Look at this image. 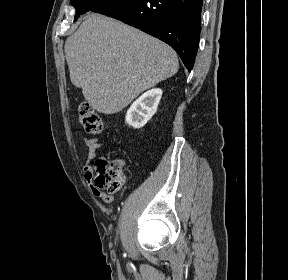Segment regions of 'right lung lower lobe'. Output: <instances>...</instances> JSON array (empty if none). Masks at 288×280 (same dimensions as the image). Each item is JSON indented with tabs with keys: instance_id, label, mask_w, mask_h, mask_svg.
Here are the masks:
<instances>
[{
	"instance_id": "right-lung-lower-lobe-1",
	"label": "right lung lower lobe",
	"mask_w": 288,
	"mask_h": 280,
	"mask_svg": "<svg viewBox=\"0 0 288 280\" xmlns=\"http://www.w3.org/2000/svg\"><path fill=\"white\" fill-rule=\"evenodd\" d=\"M203 0H109L93 9L169 44L191 71L199 45Z\"/></svg>"
}]
</instances>
